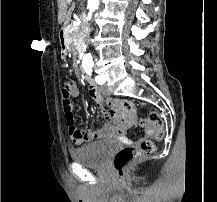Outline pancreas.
<instances>
[{
	"label": "pancreas",
	"instance_id": "pancreas-1",
	"mask_svg": "<svg viewBox=\"0 0 217 202\" xmlns=\"http://www.w3.org/2000/svg\"><path fill=\"white\" fill-rule=\"evenodd\" d=\"M71 28H75V25H72L70 27H67V30H71ZM83 40V36L80 32V28L78 26L77 30H73V32H71L69 38H68V42H69V46L71 48V50H75V52H77L78 50V46L79 44H81ZM81 50V48H80Z\"/></svg>",
	"mask_w": 217,
	"mask_h": 202
}]
</instances>
